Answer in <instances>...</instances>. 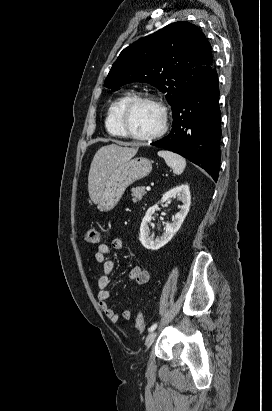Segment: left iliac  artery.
Here are the masks:
<instances>
[{
  "instance_id": "obj_1",
  "label": "left iliac artery",
  "mask_w": 272,
  "mask_h": 411,
  "mask_svg": "<svg viewBox=\"0 0 272 411\" xmlns=\"http://www.w3.org/2000/svg\"><path fill=\"white\" fill-rule=\"evenodd\" d=\"M158 323H154L150 328H149V332H152L153 330L156 329Z\"/></svg>"
}]
</instances>
